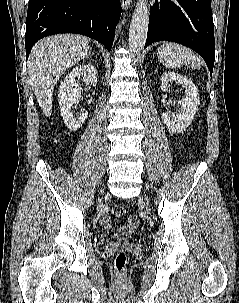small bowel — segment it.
<instances>
[{"instance_id":"c3829d8e","label":"small bowel","mask_w":239,"mask_h":303,"mask_svg":"<svg viewBox=\"0 0 239 303\" xmlns=\"http://www.w3.org/2000/svg\"><path fill=\"white\" fill-rule=\"evenodd\" d=\"M101 223L108 230L115 229V226H114L111 218L108 217V216H103L101 218ZM138 223H139L138 218L136 216H131L130 219H129L127 228L128 229H134L138 225Z\"/></svg>"}]
</instances>
